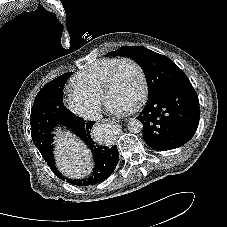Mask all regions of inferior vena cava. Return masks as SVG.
<instances>
[{"instance_id": "602c4592", "label": "inferior vena cava", "mask_w": 227, "mask_h": 227, "mask_svg": "<svg viewBox=\"0 0 227 227\" xmlns=\"http://www.w3.org/2000/svg\"><path fill=\"white\" fill-rule=\"evenodd\" d=\"M101 117H102V115L96 110H90L84 114L85 119L92 120V121L100 120Z\"/></svg>"}]
</instances>
